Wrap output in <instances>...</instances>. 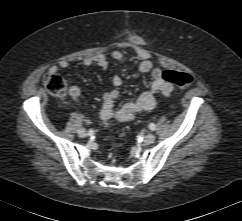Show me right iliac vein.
<instances>
[{"instance_id":"63e3f726","label":"right iliac vein","mask_w":242,"mask_h":221,"mask_svg":"<svg viewBox=\"0 0 242 221\" xmlns=\"http://www.w3.org/2000/svg\"><path fill=\"white\" fill-rule=\"evenodd\" d=\"M78 135L80 137H86L88 134H87L85 129L81 128V129L78 130Z\"/></svg>"}]
</instances>
